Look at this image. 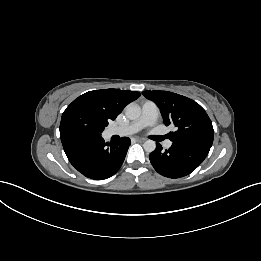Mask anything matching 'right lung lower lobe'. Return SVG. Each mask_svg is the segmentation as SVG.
Wrapping results in <instances>:
<instances>
[{"label":"right lung lower lobe","mask_w":261,"mask_h":261,"mask_svg":"<svg viewBox=\"0 0 261 261\" xmlns=\"http://www.w3.org/2000/svg\"><path fill=\"white\" fill-rule=\"evenodd\" d=\"M66 156L73 167L84 176L103 180L114 175L121 167L130 139L106 143L101 136L89 134L60 135Z\"/></svg>","instance_id":"obj_1"}]
</instances>
